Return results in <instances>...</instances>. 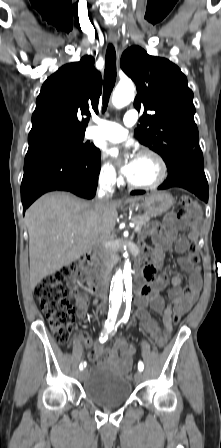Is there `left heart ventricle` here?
Segmentation results:
<instances>
[{
  "instance_id": "1",
  "label": "left heart ventricle",
  "mask_w": 221,
  "mask_h": 448,
  "mask_svg": "<svg viewBox=\"0 0 221 448\" xmlns=\"http://www.w3.org/2000/svg\"><path fill=\"white\" fill-rule=\"evenodd\" d=\"M160 170L156 161L149 156H139L137 168L130 177L132 180L140 183H149L158 178Z\"/></svg>"
}]
</instances>
